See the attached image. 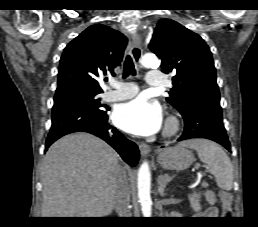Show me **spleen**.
I'll return each instance as SVG.
<instances>
[{
	"mask_svg": "<svg viewBox=\"0 0 258 227\" xmlns=\"http://www.w3.org/2000/svg\"><path fill=\"white\" fill-rule=\"evenodd\" d=\"M196 150L198 157L206 164L208 172L215 176L219 188L230 191L233 187V166L223 149L207 139H190L178 144Z\"/></svg>",
	"mask_w": 258,
	"mask_h": 227,
	"instance_id": "3e777b00",
	"label": "spleen"
}]
</instances>
